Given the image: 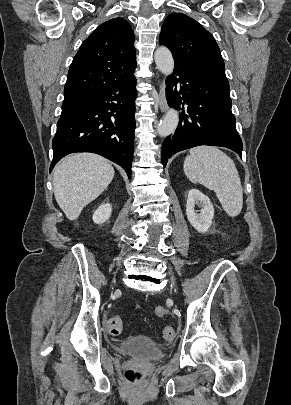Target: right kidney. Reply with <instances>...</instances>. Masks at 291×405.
<instances>
[{
	"label": "right kidney",
	"instance_id": "ca27d5eb",
	"mask_svg": "<svg viewBox=\"0 0 291 405\" xmlns=\"http://www.w3.org/2000/svg\"><path fill=\"white\" fill-rule=\"evenodd\" d=\"M111 212H112V207L109 203L102 204L94 212L92 219H93L94 223L102 224L110 218Z\"/></svg>",
	"mask_w": 291,
	"mask_h": 405
}]
</instances>
